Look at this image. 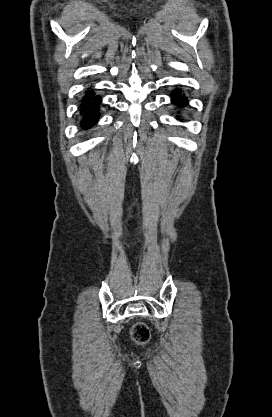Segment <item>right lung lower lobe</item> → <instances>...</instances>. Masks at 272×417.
Segmentation results:
<instances>
[{
    "label": "right lung lower lobe",
    "instance_id": "right-lung-lower-lobe-1",
    "mask_svg": "<svg viewBox=\"0 0 272 417\" xmlns=\"http://www.w3.org/2000/svg\"><path fill=\"white\" fill-rule=\"evenodd\" d=\"M101 102V97L95 95L93 92H88L85 94L82 104H81V126L84 129L91 128L97 123L99 118V104Z\"/></svg>",
    "mask_w": 272,
    "mask_h": 417
}]
</instances>
